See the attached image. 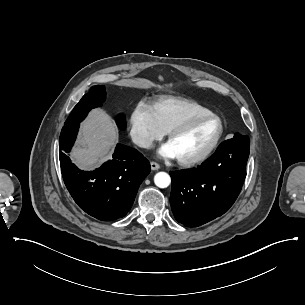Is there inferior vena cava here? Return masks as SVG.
Listing matches in <instances>:
<instances>
[{
	"instance_id": "inferior-vena-cava-1",
	"label": "inferior vena cava",
	"mask_w": 305,
	"mask_h": 305,
	"mask_svg": "<svg viewBox=\"0 0 305 305\" xmlns=\"http://www.w3.org/2000/svg\"><path fill=\"white\" fill-rule=\"evenodd\" d=\"M133 141L136 143L138 146L143 147V148H150L152 145V142L150 141L149 138L142 137L138 134L133 136Z\"/></svg>"
}]
</instances>
